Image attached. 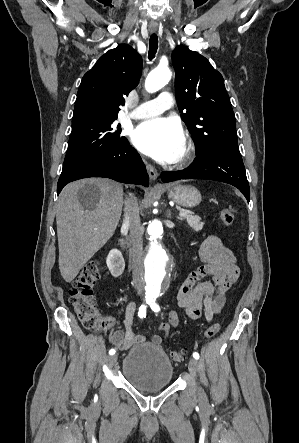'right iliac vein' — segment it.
I'll list each match as a JSON object with an SVG mask.
<instances>
[{
    "label": "right iliac vein",
    "mask_w": 299,
    "mask_h": 443,
    "mask_svg": "<svg viewBox=\"0 0 299 443\" xmlns=\"http://www.w3.org/2000/svg\"><path fill=\"white\" fill-rule=\"evenodd\" d=\"M116 361H117V355H113L108 358L109 365H114L116 363Z\"/></svg>",
    "instance_id": "63e3f726"
}]
</instances>
